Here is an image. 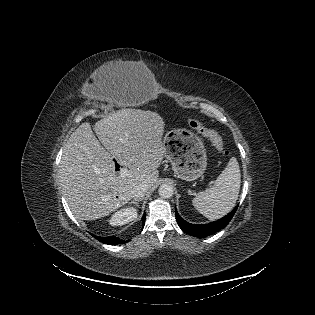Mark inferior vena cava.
<instances>
[{"instance_id": "obj_1", "label": "inferior vena cava", "mask_w": 315, "mask_h": 315, "mask_svg": "<svg viewBox=\"0 0 315 315\" xmlns=\"http://www.w3.org/2000/svg\"><path fill=\"white\" fill-rule=\"evenodd\" d=\"M149 187L150 185L147 182H142L136 185L132 190V197L135 199L142 198L149 189Z\"/></svg>"}]
</instances>
